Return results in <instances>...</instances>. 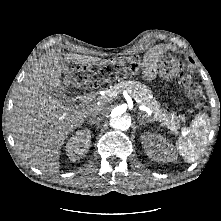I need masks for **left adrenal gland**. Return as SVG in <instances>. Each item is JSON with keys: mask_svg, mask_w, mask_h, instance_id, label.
I'll return each mask as SVG.
<instances>
[{"mask_svg": "<svg viewBox=\"0 0 221 221\" xmlns=\"http://www.w3.org/2000/svg\"><path fill=\"white\" fill-rule=\"evenodd\" d=\"M145 118V119H144ZM138 121L141 123V124H145V122H151L152 119L149 118L148 116H143V118H141V115L137 117Z\"/></svg>", "mask_w": 221, "mask_h": 221, "instance_id": "a2214340", "label": "left adrenal gland"}]
</instances>
